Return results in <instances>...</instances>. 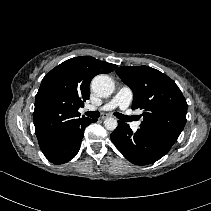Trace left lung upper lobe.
<instances>
[{
  "instance_id": "1",
  "label": "left lung upper lobe",
  "mask_w": 211,
  "mask_h": 211,
  "mask_svg": "<svg viewBox=\"0 0 211 211\" xmlns=\"http://www.w3.org/2000/svg\"><path fill=\"white\" fill-rule=\"evenodd\" d=\"M116 73L133 91L131 108L143 111L139 130L169 151L186 123L187 103L176 83L148 66H122Z\"/></svg>"
}]
</instances>
